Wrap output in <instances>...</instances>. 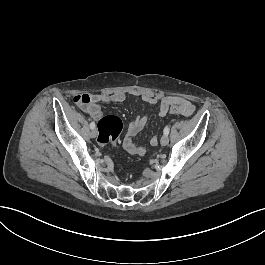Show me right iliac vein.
Instances as JSON below:
<instances>
[{"label": "right iliac vein", "instance_id": "63e3f726", "mask_svg": "<svg viewBox=\"0 0 265 265\" xmlns=\"http://www.w3.org/2000/svg\"><path fill=\"white\" fill-rule=\"evenodd\" d=\"M97 136H98L97 130L96 129H92V131H91V137L95 138Z\"/></svg>", "mask_w": 265, "mask_h": 265}]
</instances>
